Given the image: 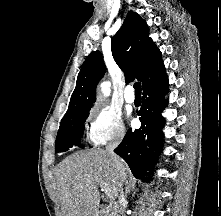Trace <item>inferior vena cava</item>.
<instances>
[{
  "label": "inferior vena cava",
  "instance_id": "602c4592",
  "mask_svg": "<svg viewBox=\"0 0 221 216\" xmlns=\"http://www.w3.org/2000/svg\"><path fill=\"white\" fill-rule=\"evenodd\" d=\"M121 140H122V135L117 137L115 139V141H113L112 143H109L106 146V151L114 159L115 167H116L117 172L119 174V181H120L118 203L114 207V216H125L124 206L126 203V199H125L124 192H123V183L126 180V173H125L122 161L114 153V149L118 146V144L120 143Z\"/></svg>",
  "mask_w": 221,
  "mask_h": 216
}]
</instances>
